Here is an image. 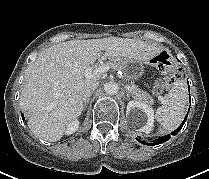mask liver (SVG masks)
Masks as SVG:
<instances>
[{
  "instance_id": "1",
  "label": "liver",
  "mask_w": 209,
  "mask_h": 179,
  "mask_svg": "<svg viewBox=\"0 0 209 179\" xmlns=\"http://www.w3.org/2000/svg\"><path fill=\"white\" fill-rule=\"evenodd\" d=\"M121 62H147L161 49L141 40L108 37L66 41L42 51L25 73L20 107L28 112V126L49 142L62 138L69 123L83 110V94L101 74L85 76V70L100 58Z\"/></svg>"
}]
</instances>
